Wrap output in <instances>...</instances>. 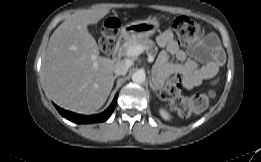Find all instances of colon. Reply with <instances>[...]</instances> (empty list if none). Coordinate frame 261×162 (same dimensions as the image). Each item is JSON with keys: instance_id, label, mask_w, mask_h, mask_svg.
Returning a JSON list of instances; mask_svg holds the SVG:
<instances>
[{"instance_id": "colon-1", "label": "colon", "mask_w": 261, "mask_h": 162, "mask_svg": "<svg viewBox=\"0 0 261 162\" xmlns=\"http://www.w3.org/2000/svg\"><path fill=\"white\" fill-rule=\"evenodd\" d=\"M179 39L183 42L197 39L202 34L201 26L188 17H178L173 22ZM118 31V23L114 20L107 22L102 29L100 47L104 52H110L115 46V37ZM214 96V91L209 90L206 94H197L192 97H185L182 94V85L180 76H172L168 79L161 97L172 103L178 111L187 116L191 112L201 113L205 111L209 104V99Z\"/></svg>"}]
</instances>
